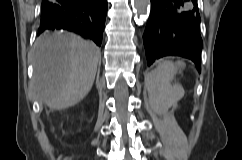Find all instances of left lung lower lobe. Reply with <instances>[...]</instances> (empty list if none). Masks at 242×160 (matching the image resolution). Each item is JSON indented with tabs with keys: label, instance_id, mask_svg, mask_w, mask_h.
<instances>
[{
	"label": "left lung lower lobe",
	"instance_id": "0a47b994",
	"mask_svg": "<svg viewBox=\"0 0 242 160\" xmlns=\"http://www.w3.org/2000/svg\"><path fill=\"white\" fill-rule=\"evenodd\" d=\"M197 0H151L143 36L148 65L164 56H182L201 70L202 39Z\"/></svg>",
	"mask_w": 242,
	"mask_h": 160
}]
</instances>
